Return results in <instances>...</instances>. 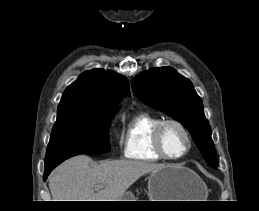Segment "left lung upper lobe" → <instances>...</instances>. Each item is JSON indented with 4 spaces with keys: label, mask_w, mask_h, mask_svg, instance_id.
<instances>
[{
    "label": "left lung upper lobe",
    "mask_w": 259,
    "mask_h": 211,
    "mask_svg": "<svg viewBox=\"0 0 259 211\" xmlns=\"http://www.w3.org/2000/svg\"><path fill=\"white\" fill-rule=\"evenodd\" d=\"M134 93L151 107L183 124L205 160L217 168L211 128L193 84L171 67L152 68L132 80Z\"/></svg>",
    "instance_id": "5c2ea615"
}]
</instances>
